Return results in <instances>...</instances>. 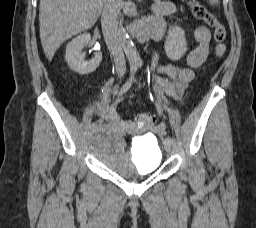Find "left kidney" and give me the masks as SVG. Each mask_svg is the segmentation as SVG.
<instances>
[{
	"mask_svg": "<svg viewBox=\"0 0 256 228\" xmlns=\"http://www.w3.org/2000/svg\"><path fill=\"white\" fill-rule=\"evenodd\" d=\"M166 55L172 61L180 60L187 51L185 32L179 26H172L164 44Z\"/></svg>",
	"mask_w": 256,
	"mask_h": 228,
	"instance_id": "left-kidney-1",
	"label": "left kidney"
}]
</instances>
